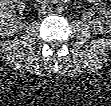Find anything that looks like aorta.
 <instances>
[{
    "label": "aorta",
    "instance_id": "obj_1",
    "mask_svg": "<svg viewBox=\"0 0 111 106\" xmlns=\"http://www.w3.org/2000/svg\"><path fill=\"white\" fill-rule=\"evenodd\" d=\"M56 11H57L58 13H62V12L64 11V8H63L62 6H58V7L56 8Z\"/></svg>",
    "mask_w": 111,
    "mask_h": 106
}]
</instances>
